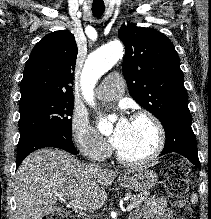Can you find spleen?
Listing matches in <instances>:
<instances>
[{"mask_svg":"<svg viewBox=\"0 0 211 219\" xmlns=\"http://www.w3.org/2000/svg\"><path fill=\"white\" fill-rule=\"evenodd\" d=\"M197 201H198V196H197V194H192V196H191V202H192L193 204H196Z\"/></svg>","mask_w":211,"mask_h":219,"instance_id":"obj_1","label":"spleen"}]
</instances>
